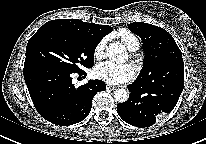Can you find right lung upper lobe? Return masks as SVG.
<instances>
[{
  "instance_id": "right-lung-upper-lobe-1",
  "label": "right lung upper lobe",
  "mask_w": 206,
  "mask_h": 144,
  "mask_svg": "<svg viewBox=\"0 0 206 144\" xmlns=\"http://www.w3.org/2000/svg\"><path fill=\"white\" fill-rule=\"evenodd\" d=\"M47 24L61 25L69 28H73L80 32H83L87 35H90L95 38L102 39L105 35L109 34L113 28L108 25H98L83 22L78 19H60V20H51Z\"/></svg>"
}]
</instances>
